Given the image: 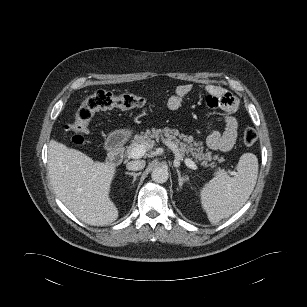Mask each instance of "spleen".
Wrapping results in <instances>:
<instances>
[{
	"mask_svg": "<svg viewBox=\"0 0 307 307\" xmlns=\"http://www.w3.org/2000/svg\"><path fill=\"white\" fill-rule=\"evenodd\" d=\"M258 159L244 153L234 177L219 171L200 191L201 204L211 223L236 213L249 199L258 177Z\"/></svg>",
	"mask_w": 307,
	"mask_h": 307,
	"instance_id": "spleen-1",
	"label": "spleen"
}]
</instances>
